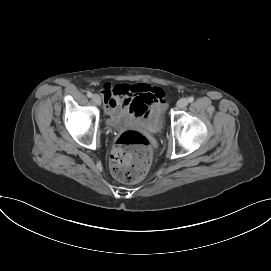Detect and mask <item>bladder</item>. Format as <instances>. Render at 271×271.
Wrapping results in <instances>:
<instances>
[{
    "label": "bladder",
    "instance_id": "31cf9c89",
    "mask_svg": "<svg viewBox=\"0 0 271 271\" xmlns=\"http://www.w3.org/2000/svg\"><path fill=\"white\" fill-rule=\"evenodd\" d=\"M163 127V117L162 114H158L153 117L150 123L148 124V128L152 131H160Z\"/></svg>",
    "mask_w": 271,
    "mask_h": 271
}]
</instances>
